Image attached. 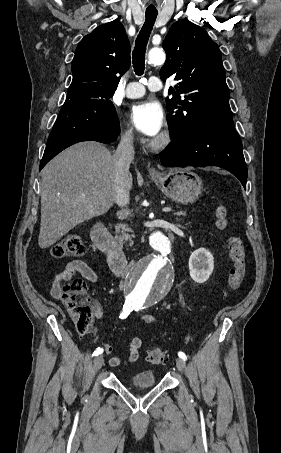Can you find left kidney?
Segmentation results:
<instances>
[{"mask_svg":"<svg viewBox=\"0 0 281 453\" xmlns=\"http://www.w3.org/2000/svg\"><path fill=\"white\" fill-rule=\"evenodd\" d=\"M214 269V257L207 249H197L189 259L190 277L195 283L208 281Z\"/></svg>","mask_w":281,"mask_h":453,"instance_id":"1","label":"left kidney"}]
</instances>
